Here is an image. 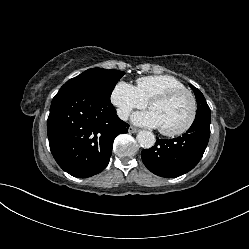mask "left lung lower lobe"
Wrapping results in <instances>:
<instances>
[{"mask_svg":"<svg viewBox=\"0 0 249 249\" xmlns=\"http://www.w3.org/2000/svg\"><path fill=\"white\" fill-rule=\"evenodd\" d=\"M210 136V117H196L181 137L158 139L141 152L144 165L154 174L174 178L193 169L202 158Z\"/></svg>","mask_w":249,"mask_h":249,"instance_id":"1","label":"left lung lower lobe"}]
</instances>
